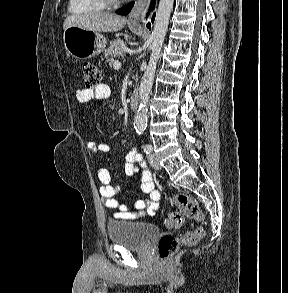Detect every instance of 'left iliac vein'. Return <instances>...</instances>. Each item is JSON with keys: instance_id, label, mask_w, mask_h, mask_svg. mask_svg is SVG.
I'll use <instances>...</instances> for the list:
<instances>
[{"instance_id": "obj_1", "label": "left iliac vein", "mask_w": 288, "mask_h": 293, "mask_svg": "<svg viewBox=\"0 0 288 293\" xmlns=\"http://www.w3.org/2000/svg\"><path fill=\"white\" fill-rule=\"evenodd\" d=\"M148 161H149L150 165H151L155 170H160V169H161V166H160V164H159V161H158L157 157H156L154 154L150 153V154L148 155Z\"/></svg>"}]
</instances>
